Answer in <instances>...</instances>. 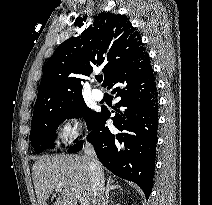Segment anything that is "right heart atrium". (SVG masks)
<instances>
[{
    "label": "right heart atrium",
    "mask_w": 212,
    "mask_h": 205,
    "mask_svg": "<svg viewBox=\"0 0 212 205\" xmlns=\"http://www.w3.org/2000/svg\"><path fill=\"white\" fill-rule=\"evenodd\" d=\"M83 123L75 115H68L60 123L58 129L59 138L64 143H73L79 137Z\"/></svg>",
    "instance_id": "obj_1"
}]
</instances>
